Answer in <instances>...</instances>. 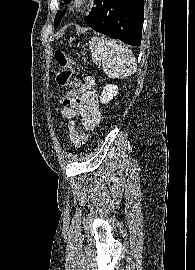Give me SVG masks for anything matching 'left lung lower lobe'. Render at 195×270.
<instances>
[{
  "instance_id": "obj_1",
  "label": "left lung lower lobe",
  "mask_w": 195,
  "mask_h": 270,
  "mask_svg": "<svg viewBox=\"0 0 195 270\" xmlns=\"http://www.w3.org/2000/svg\"><path fill=\"white\" fill-rule=\"evenodd\" d=\"M85 22L96 32L139 46L144 20V0H94Z\"/></svg>"
}]
</instances>
